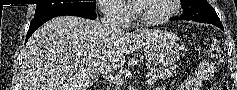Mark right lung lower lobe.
<instances>
[{
	"instance_id": "right-lung-lower-lobe-1",
	"label": "right lung lower lobe",
	"mask_w": 237,
	"mask_h": 90,
	"mask_svg": "<svg viewBox=\"0 0 237 90\" xmlns=\"http://www.w3.org/2000/svg\"><path fill=\"white\" fill-rule=\"evenodd\" d=\"M64 15L80 16L91 20H94L97 17L95 10L86 8L63 9L40 17H34L27 32L26 42L28 38L34 33V31L46 21L50 20L51 18Z\"/></svg>"
}]
</instances>
